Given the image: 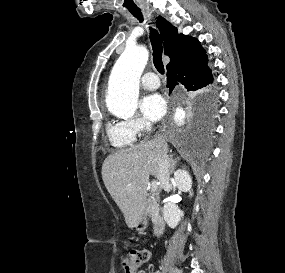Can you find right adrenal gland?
I'll return each instance as SVG.
<instances>
[{
    "label": "right adrenal gland",
    "mask_w": 285,
    "mask_h": 273,
    "mask_svg": "<svg viewBox=\"0 0 285 273\" xmlns=\"http://www.w3.org/2000/svg\"><path fill=\"white\" fill-rule=\"evenodd\" d=\"M177 161H178V158L177 159H173L172 155L170 156V163H171V171H170V173L171 174L174 173Z\"/></svg>",
    "instance_id": "right-adrenal-gland-1"
}]
</instances>
